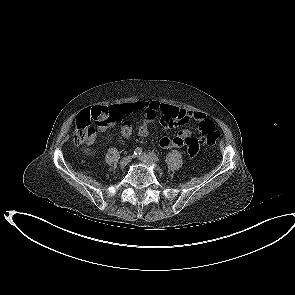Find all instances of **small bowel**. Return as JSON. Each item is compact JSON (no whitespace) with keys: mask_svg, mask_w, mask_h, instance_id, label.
Segmentation results:
<instances>
[{"mask_svg":"<svg viewBox=\"0 0 295 295\" xmlns=\"http://www.w3.org/2000/svg\"><path fill=\"white\" fill-rule=\"evenodd\" d=\"M111 111L110 117L102 118L98 127L99 130L104 131L111 128L114 122L124 116L130 115L134 112H142L144 114L143 121L138 127V135L146 137L149 134V126L159 115L163 125L172 127L177 124H186L190 120L203 121L206 116L202 112L189 111L161 103L159 101H135L120 105H113L107 107ZM133 132L132 123L129 120H124L121 125V135L124 138H129ZM159 145L162 148H182L186 147L189 154L194 155L199 148V140L188 130H182L173 137H163L159 140ZM90 154L92 150H88Z\"/></svg>","mask_w":295,"mask_h":295,"instance_id":"1","label":"small bowel"}]
</instances>
